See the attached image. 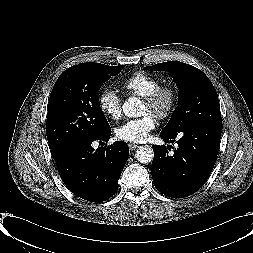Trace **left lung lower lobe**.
<instances>
[{"mask_svg": "<svg viewBox=\"0 0 253 253\" xmlns=\"http://www.w3.org/2000/svg\"><path fill=\"white\" fill-rule=\"evenodd\" d=\"M222 124H190L174 135L160 134L167 143L176 137L179 148L169 155L165 146L153 145L151 174L155 187L173 198L198 191L214 167Z\"/></svg>", "mask_w": 253, "mask_h": 253, "instance_id": "0a47b994", "label": "left lung lower lobe"}]
</instances>
